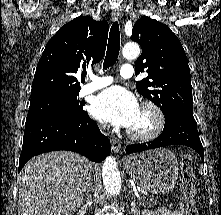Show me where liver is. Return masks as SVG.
Masks as SVG:
<instances>
[{
  "instance_id": "obj_1",
  "label": "liver",
  "mask_w": 221,
  "mask_h": 215,
  "mask_svg": "<svg viewBox=\"0 0 221 215\" xmlns=\"http://www.w3.org/2000/svg\"><path fill=\"white\" fill-rule=\"evenodd\" d=\"M92 163L69 151L31 158L19 176L18 215H73L91 180Z\"/></svg>"
}]
</instances>
